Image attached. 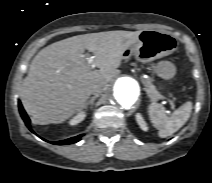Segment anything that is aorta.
<instances>
[{
    "mask_svg": "<svg viewBox=\"0 0 212 183\" xmlns=\"http://www.w3.org/2000/svg\"><path fill=\"white\" fill-rule=\"evenodd\" d=\"M140 93L139 83L131 77H119L113 86V100L123 109L132 108L138 102Z\"/></svg>",
    "mask_w": 212,
    "mask_h": 183,
    "instance_id": "762f6f07",
    "label": "aorta"
}]
</instances>
